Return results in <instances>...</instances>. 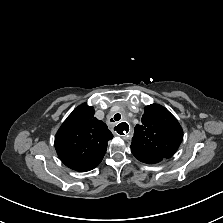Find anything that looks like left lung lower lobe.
I'll return each mask as SVG.
<instances>
[{"instance_id":"0a47b994","label":"left lung lower lobe","mask_w":223,"mask_h":223,"mask_svg":"<svg viewBox=\"0 0 223 223\" xmlns=\"http://www.w3.org/2000/svg\"><path fill=\"white\" fill-rule=\"evenodd\" d=\"M132 153L139 161H141L143 163H147V164H154V163H158L161 160H163V158L148 155V154L141 153V152L135 151V150H132Z\"/></svg>"}]
</instances>
